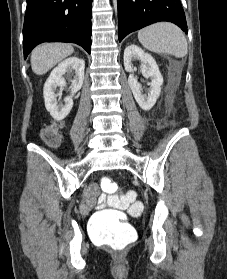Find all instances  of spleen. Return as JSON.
<instances>
[{"mask_svg": "<svg viewBox=\"0 0 227 279\" xmlns=\"http://www.w3.org/2000/svg\"><path fill=\"white\" fill-rule=\"evenodd\" d=\"M138 39L144 48L154 53H167L182 58L188 52L183 32L172 23L150 25L138 32Z\"/></svg>", "mask_w": 227, "mask_h": 279, "instance_id": "spleen-1", "label": "spleen"}]
</instances>
